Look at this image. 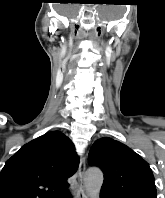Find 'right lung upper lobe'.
I'll list each match as a JSON object with an SVG mask.
<instances>
[{"label":"right lung upper lobe","mask_w":165,"mask_h":198,"mask_svg":"<svg viewBox=\"0 0 165 198\" xmlns=\"http://www.w3.org/2000/svg\"><path fill=\"white\" fill-rule=\"evenodd\" d=\"M78 158L60 131L48 132L18 150L0 173V198H60Z\"/></svg>","instance_id":"1"}]
</instances>
